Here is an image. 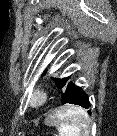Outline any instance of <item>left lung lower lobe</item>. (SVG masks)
Returning <instances> with one entry per match:
<instances>
[{"mask_svg":"<svg viewBox=\"0 0 117 136\" xmlns=\"http://www.w3.org/2000/svg\"><path fill=\"white\" fill-rule=\"evenodd\" d=\"M62 103L79 105L85 109L90 108L88 95L84 92L83 88L79 86L78 82L72 78L67 82L63 94ZM90 113V111H88Z\"/></svg>","mask_w":117,"mask_h":136,"instance_id":"0a47b994","label":"left lung lower lobe"}]
</instances>
